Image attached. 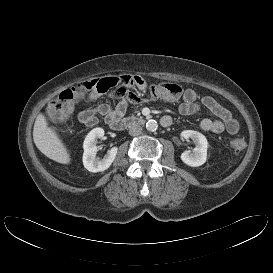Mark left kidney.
<instances>
[{
    "label": "left kidney",
    "mask_w": 273,
    "mask_h": 273,
    "mask_svg": "<svg viewBox=\"0 0 273 273\" xmlns=\"http://www.w3.org/2000/svg\"><path fill=\"white\" fill-rule=\"evenodd\" d=\"M181 137L185 139H192L196 147L193 152L184 151L181 154V160L191 167L201 166L206 162L208 142L206 137L194 130H185L181 133Z\"/></svg>",
    "instance_id": "5707ae66"
}]
</instances>
